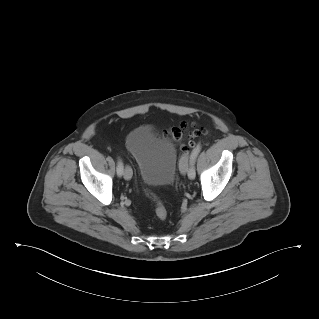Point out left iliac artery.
<instances>
[{
  "mask_svg": "<svg viewBox=\"0 0 319 319\" xmlns=\"http://www.w3.org/2000/svg\"><path fill=\"white\" fill-rule=\"evenodd\" d=\"M201 149H202V147L200 145H198L191 152L190 160H189V170H188V173L190 175V179H194L196 176L194 164H195V160H196L198 154L200 153Z\"/></svg>",
  "mask_w": 319,
  "mask_h": 319,
  "instance_id": "obj_1",
  "label": "left iliac artery"
}]
</instances>
